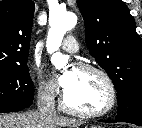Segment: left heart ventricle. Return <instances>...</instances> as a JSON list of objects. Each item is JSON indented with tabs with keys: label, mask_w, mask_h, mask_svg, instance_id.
<instances>
[{
	"label": "left heart ventricle",
	"mask_w": 142,
	"mask_h": 128,
	"mask_svg": "<svg viewBox=\"0 0 142 128\" xmlns=\"http://www.w3.org/2000/svg\"><path fill=\"white\" fill-rule=\"evenodd\" d=\"M74 82L65 91L66 102L83 111H98L109 101V90L104 79L95 72L73 69Z\"/></svg>",
	"instance_id": "1"
}]
</instances>
